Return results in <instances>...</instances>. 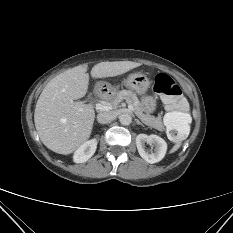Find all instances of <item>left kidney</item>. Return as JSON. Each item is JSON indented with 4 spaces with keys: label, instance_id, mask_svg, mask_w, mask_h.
Segmentation results:
<instances>
[{
    "label": "left kidney",
    "instance_id": "left-kidney-1",
    "mask_svg": "<svg viewBox=\"0 0 233 233\" xmlns=\"http://www.w3.org/2000/svg\"><path fill=\"white\" fill-rule=\"evenodd\" d=\"M155 146V152H149L145 149V144ZM136 146L140 156L148 163H156L161 161L167 151V143L164 139L157 135L139 134L136 137Z\"/></svg>",
    "mask_w": 233,
    "mask_h": 233
}]
</instances>
